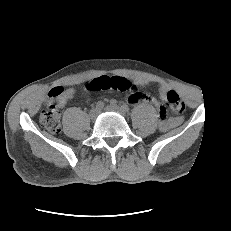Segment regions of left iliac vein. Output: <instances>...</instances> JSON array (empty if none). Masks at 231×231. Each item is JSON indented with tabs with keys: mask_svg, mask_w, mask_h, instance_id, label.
I'll list each match as a JSON object with an SVG mask.
<instances>
[{
	"mask_svg": "<svg viewBox=\"0 0 231 231\" xmlns=\"http://www.w3.org/2000/svg\"><path fill=\"white\" fill-rule=\"evenodd\" d=\"M106 111H112V112H117L120 113L122 115H125V112L123 111V109L117 105H108L105 107Z\"/></svg>",
	"mask_w": 231,
	"mask_h": 231,
	"instance_id": "left-iliac-vein-1",
	"label": "left iliac vein"
}]
</instances>
